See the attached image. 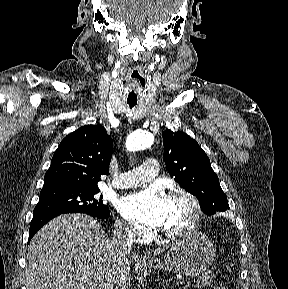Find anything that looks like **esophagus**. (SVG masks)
Returning a JSON list of instances; mask_svg holds the SVG:
<instances>
[{
  "label": "esophagus",
  "mask_w": 288,
  "mask_h": 289,
  "mask_svg": "<svg viewBox=\"0 0 288 289\" xmlns=\"http://www.w3.org/2000/svg\"><path fill=\"white\" fill-rule=\"evenodd\" d=\"M149 259V256H147L146 254H143L142 256H141V260H143V261H146V260H148Z\"/></svg>",
  "instance_id": "obj_1"
}]
</instances>
